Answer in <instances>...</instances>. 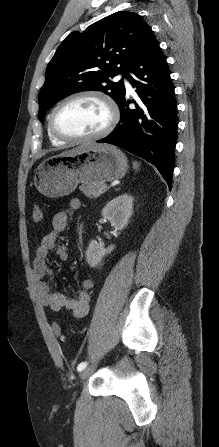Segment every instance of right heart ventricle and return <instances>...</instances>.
Returning <instances> with one entry per match:
<instances>
[{
	"label": "right heart ventricle",
	"instance_id": "obj_1",
	"mask_svg": "<svg viewBox=\"0 0 219 447\" xmlns=\"http://www.w3.org/2000/svg\"><path fill=\"white\" fill-rule=\"evenodd\" d=\"M47 133L51 143H53L54 145H61L63 143L62 140L58 139L51 133L49 126H47Z\"/></svg>",
	"mask_w": 219,
	"mask_h": 447
}]
</instances>
